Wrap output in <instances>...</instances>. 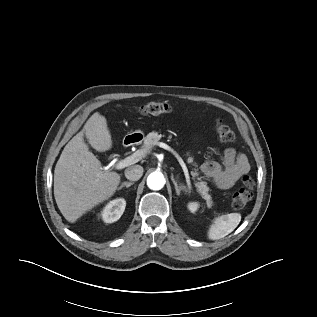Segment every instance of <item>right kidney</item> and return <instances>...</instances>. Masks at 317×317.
<instances>
[{
    "instance_id": "1",
    "label": "right kidney",
    "mask_w": 317,
    "mask_h": 317,
    "mask_svg": "<svg viewBox=\"0 0 317 317\" xmlns=\"http://www.w3.org/2000/svg\"><path fill=\"white\" fill-rule=\"evenodd\" d=\"M126 207V201L118 198L110 201L100 212L99 216L105 223H113L117 221L123 214Z\"/></svg>"
}]
</instances>
